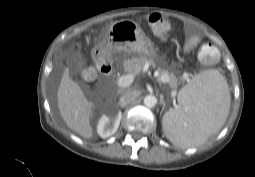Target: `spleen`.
Returning a JSON list of instances; mask_svg holds the SVG:
<instances>
[{
    "label": "spleen",
    "mask_w": 255,
    "mask_h": 177,
    "mask_svg": "<svg viewBox=\"0 0 255 177\" xmlns=\"http://www.w3.org/2000/svg\"><path fill=\"white\" fill-rule=\"evenodd\" d=\"M179 106L163 116V130L179 147L204 143L226 121L230 92L226 79L217 70L196 75L178 94Z\"/></svg>",
    "instance_id": "1"
}]
</instances>
